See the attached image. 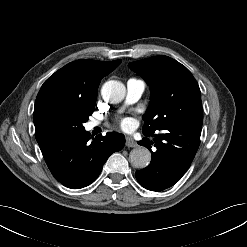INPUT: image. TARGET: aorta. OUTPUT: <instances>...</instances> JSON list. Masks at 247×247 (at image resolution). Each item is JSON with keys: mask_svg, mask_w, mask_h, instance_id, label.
Segmentation results:
<instances>
[{"mask_svg": "<svg viewBox=\"0 0 247 247\" xmlns=\"http://www.w3.org/2000/svg\"><path fill=\"white\" fill-rule=\"evenodd\" d=\"M125 86L120 81L110 80L104 83L101 89L103 99L112 104L120 103L125 97ZM129 161L135 168L143 169L151 161L150 151L142 146L131 150Z\"/></svg>", "mask_w": 247, "mask_h": 247, "instance_id": "aorta-1", "label": "aorta"}]
</instances>
